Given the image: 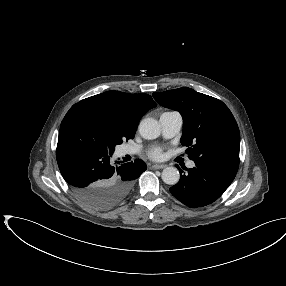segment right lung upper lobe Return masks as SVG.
Masks as SVG:
<instances>
[{
    "label": "right lung upper lobe",
    "instance_id": "cb5924a9",
    "mask_svg": "<svg viewBox=\"0 0 286 286\" xmlns=\"http://www.w3.org/2000/svg\"><path fill=\"white\" fill-rule=\"evenodd\" d=\"M75 106L88 107L103 112L114 119L122 133L134 136L141 117L156 106L148 94H128L120 91H107L81 100Z\"/></svg>",
    "mask_w": 286,
    "mask_h": 286
}]
</instances>
